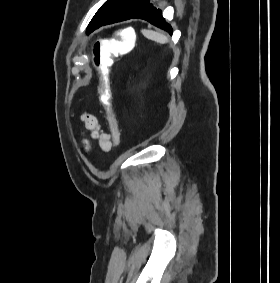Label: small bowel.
<instances>
[{
  "mask_svg": "<svg viewBox=\"0 0 280 283\" xmlns=\"http://www.w3.org/2000/svg\"><path fill=\"white\" fill-rule=\"evenodd\" d=\"M81 120L83 122L84 128L88 132H90L91 137L97 140L98 146L101 151L109 152L114 146L118 144L114 139L115 130L119 131L117 122L112 123L109 121L110 133H107L103 130L101 123L94 115L90 113H83L81 115ZM84 145L86 149H89V143L87 140H84Z\"/></svg>",
  "mask_w": 280,
  "mask_h": 283,
  "instance_id": "1",
  "label": "small bowel"
}]
</instances>
